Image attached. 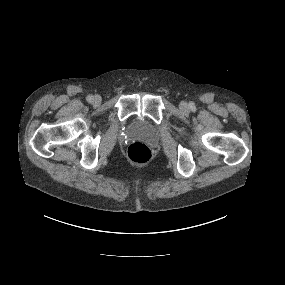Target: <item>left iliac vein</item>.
Masks as SVG:
<instances>
[{"instance_id": "1", "label": "left iliac vein", "mask_w": 285, "mask_h": 285, "mask_svg": "<svg viewBox=\"0 0 285 285\" xmlns=\"http://www.w3.org/2000/svg\"><path fill=\"white\" fill-rule=\"evenodd\" d=\"M179 108L183 112H187L189 110L188 104L184 101L179 104Z\"/></svg>"}]
</instances>
